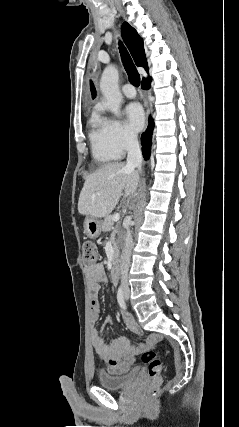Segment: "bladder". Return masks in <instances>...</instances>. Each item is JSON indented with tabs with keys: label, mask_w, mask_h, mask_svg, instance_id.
<instances>
[{
	"label": "bladder",
	"mask_w": 239,
	"mask_h": 427,
	"mask_svg": "<svg viewBox=\"0 0 239 427\" xmlns=\"http://www.w3.org/2000/svg\"><path fill=\"white\" fill-rule=\"evenodd\" d=\"M139 368H132L124 375H115L101 371L98 373L99 385L107 390H121L130 386L138 377Z\"/></svg>",
	"instance_id": "obj_1"
}]
</instances>
